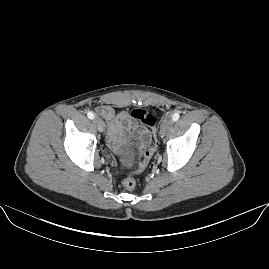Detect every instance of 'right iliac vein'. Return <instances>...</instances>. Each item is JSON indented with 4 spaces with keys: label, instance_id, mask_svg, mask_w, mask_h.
Here are the masks:
<instances>
[{
    "label": "right iliac vein",
    "instance_id": "63e3f726",
    "mask_svg": "<svg viewBox=\"0 0 269 269\" xmlns=\"http://www.w3.org/2000/svg\"><path fill=\"white\" fill-rule=\"evenodd\" d=\"M94 124L96 125L97 129L99 130V132H103L104 128H105V124L103 122V120L99 117H95L93 119Z\"/></svg>",
    "mask_w": 269,
    "mask_h": 269
}]
</instances>
